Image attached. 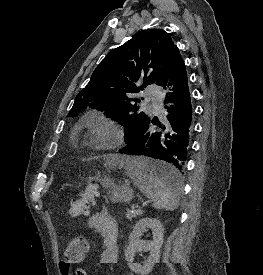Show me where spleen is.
I'll return each mask as SVG.
<instances>
[{"label":"spleen","mask_w":263,"mask_h":275,"mask_svg":"<svg viewBox=\"0 0 263 275\" xmlns=\"http://www.w3.org/2000/svg\"><path fill=\"white\" fill-rule=\"evenodd\" d=\"M121 165L137 188L152 201V207L173 211L179 206V180L174 185L163 182L152 174L153 163L144 157L124 158Z\"/></svg>","instance_id":"obj_1"}]
</instances>
